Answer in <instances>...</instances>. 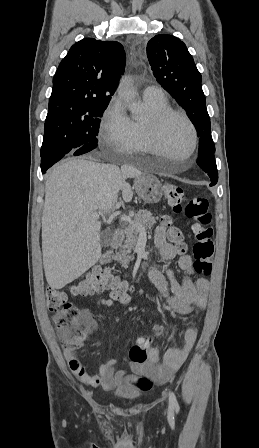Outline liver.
Wrapping results in <instances>:
<instances>
[{
    "instance_id": "1",
    "label": "liver",
    "mask_w": 259,
    "mask_h": 448,
    "mask_svg": "<svg viewBox=\"0 0 259 448\" xmlns=\"http://www.w3.org/2000/svg\"><path fill=\"white\" fill-rule=\"evenodd\" d=\"M128 170L113 164L70 158L47 176L42 216V256L50 288L61 290L80 278L101 256V222L92 214H107L119 190H128Z\"/></svg>"
}]
</instances>
